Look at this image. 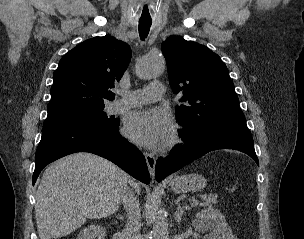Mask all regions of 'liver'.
I'll return each mask as SVG.
<instances>
[{"label": "liver", "instance_id": "obj_1", "mask_svg": "<svg viewBox=\"0 0 304 239\" xmlns=\"http://www.w3.org/2000/svg\"><path fill=\"white\" fill-rule=\"evenodd\" d=\"M130 180L126 172L94 154L80 152L57 160L44 171L36 192L39 238H61L87 219L114 214ZM133 183L139 194V185Z\"/></svg>", "mask_w": 304, "mask_h": 239}]
</instances>
